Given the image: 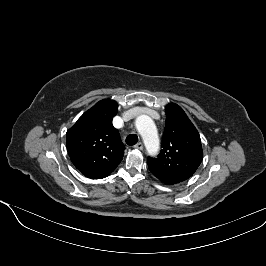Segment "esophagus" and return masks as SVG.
<instances>
[{"label":"esophagus","instance_id":"obj_1","mask_svg":"<svg viewBox=\"0 0 266 266\" xmlns=\"http://www.w3.org/2000/svg\"><path fill=\"white\" fill-rule=\"evenodd\" d=\"M134 148L138 149V150H143V143L139 142L137 143Z\"/></svg>","mask_w":266,"mask_h":266}]
</instances>
